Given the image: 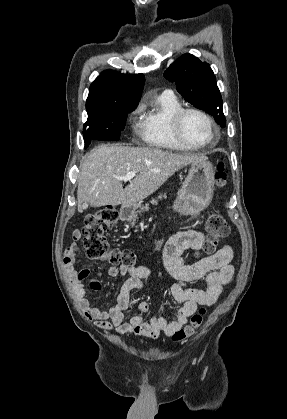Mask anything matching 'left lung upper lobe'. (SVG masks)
<instances>
[{
	"instance_id": "5c2ea615",
	"label": "left lung upper lobe",
	"mask_w": 287,
	"mask_h": 419,
	"mask_svg": "<svg viewBox=\"0 0 287 419\" xmlns=\"http://www.w3.org/2000/svg\"><path fill=\"white\" fill-rule=\"evenodd\" d=\"M164 76L176 84L178 92L188 102L211 114L221 127H225L221 94L209 64L191 54H184L165 71Z\"/></svg>"
}]
</instances>
